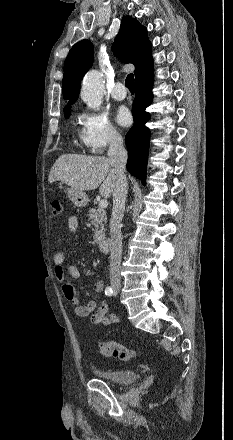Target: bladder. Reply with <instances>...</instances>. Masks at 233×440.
<instances>
[{"mask_svg":"<svg viewBox=\"0 0 233 440\" xmlns=\"http://www.w3.org/2000/svg\"><path fill=\"white\" fill-rule=\"evenodd\" d=\"M95 374L102 379L115 384H127L134 382L138 375L134 370L121 369V370H105L95 368Z\"/></svg>","mask_w":233,"mask_h":440,"instance_id":"1","label":"bladder"}]
</instances>
